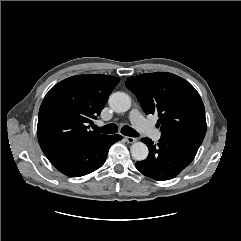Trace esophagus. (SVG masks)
Masks as SVG:
<instances>
[{
	"mask_svg": "<svg viewBox=\"0 0 241 241\" xmlns=\"http://www.w3.org/2000/svg\"><path fill=\"white\" fill-rule=\"evenodd\" d=\"M125 140L128 142V143H135L136 141H137V139L136 138H134V137H129V136H126L125 137Z\"/></svg>",
	"mask_w": 241,
	"mask_h": 241,
	"instance_id": "34e87169",
	"label": "esophagus"
}]
</instances>
